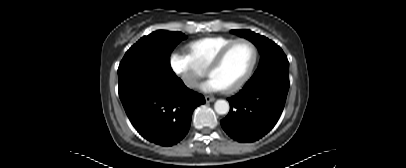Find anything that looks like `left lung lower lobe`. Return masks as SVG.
<instances>
[{
    "label": "left lung lower lobe",
    "instance_id": "0a47b994",
    "mask_svg": "<svg viewBox=\"0 0 406 168\" xmlns=\"http://www.w3.org/2000/svg\"><path fill=\"white\" fill-rule=\"evenodd\" d=\"M289 90V78L262 76L250 79L228 98L230 112L221 120L224 131L239 142H253L277 123Z\"/></svg>",
    "mask_w": 406,
    "mask_h": 168
}]
</instances>
